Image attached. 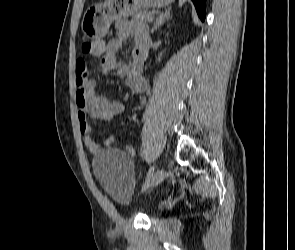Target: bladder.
I'll return each mask as SVG.
<instances>
[{"label":"bladder","instance_id":"1","mask_svg":"<svg viewBox=\"0 0 295 250\" xmlns=\"http://www.w3.org/2000/svg\"><path fill=\"white\" fill-rule=\"evenodd\" d=\"M92 170L101 188L115 201L131 206L136 201L131 159L125 152L106 148L92 160Z\"/></svg>","mask_w":295,"mask_h":250}]
</instances>
